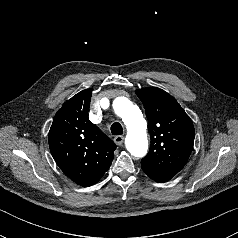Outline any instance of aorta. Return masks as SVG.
Returning <instances> with one entry per match:
<instances>
[{"mask_svg":"<svg viewBox=\"0 0 238 238\" xmlns=\"http://www.w3.org/2000/svg\"><path fill=\"white\" fill-rule=\"evenodd\" d=\"M115 113L122 118L127 127L126 148L135 157L147 153V124L140 109L126 97H118L113 102Z\"/></svg>","mask_w":238,"mask_h":238,"instance_id":"762f6f07","label":"aorta"}]
</instances>
